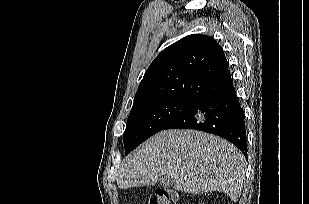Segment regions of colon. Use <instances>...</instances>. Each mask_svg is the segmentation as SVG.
<instances>
[{
  "label": "colon",
  "instance_id": "1",
  "mask_svg": "<svg viewBox=\"0 0 309 204\" xmlns=\"http://www.w3.org/2000/svg\"><path fill=\"white\" fill-rule=\"evenodd\" d=\"M178 197L175 190L159 188L151 195L149 204H177Z\"/></svg>",
  "mask_w": 309,
  "mask_h": 204
}]
</instances>
